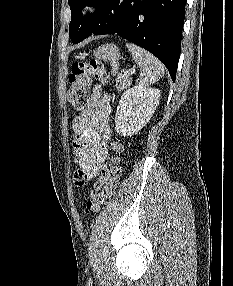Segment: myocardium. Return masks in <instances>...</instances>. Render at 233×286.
<instances>
[{"label":"myocardium","instance_id":"1","mask_svg":"<svg viewBox=\"0 0 233 286\" xmlns=\"http://www.w3.org/2000/svg\"><path fill=\"white\" fill-rule=\"evenodd\" d=\"M99 1L98 0H87L85 1L80 7V15L81 16H88L94 13L99 8Z\"/></svg>","mask_w":233,"mask_h":286}]
</instances>
